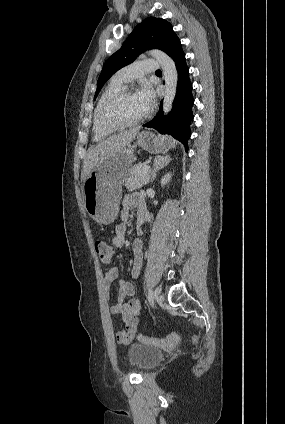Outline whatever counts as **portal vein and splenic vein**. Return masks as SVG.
Segmentation results:
<instances>
[{"mask_svg":"<svg viewBox=\"0 0 285 424\" xmlns=\"http://www.w3.org/2000/svg\"><path fill=\"white\" fill-rule=\"evenodd\" d=\"M149 168H150V166H149V165H145V166H144V168H143V176H145V175L148 173Z\"/></svg>","mask_w":285,"mask_h":424,"instance_id":"obj_1","label":"portal vein and splenic vein"}]
</instances>
